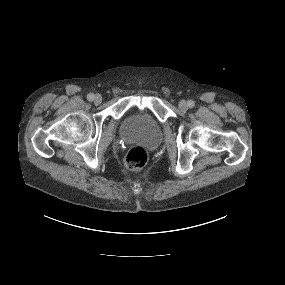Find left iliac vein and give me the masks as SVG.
I'll use <instances>...</instances> for the list:
<instances>
[{
  "label": "left iliac vein",
  "instance_id": "4c4485c4",
  "mask_svg": "<svg viewBox=\"0 0 285 285\" xmlns=\"http://www.w3.org/2000/svg\"><path fill=\"white\" fill-rule=\"evenodd\" d=\"M178 107L181 111L185 112L188 109V104L186 101L181 100L178 104Z\"/></svg>",
  "mask_w": 285,
  "mask_h": 285
}]
</instances>
